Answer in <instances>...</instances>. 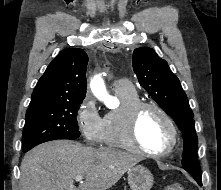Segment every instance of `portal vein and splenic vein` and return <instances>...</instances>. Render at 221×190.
<instances>
[{
    "label": "portal vein and splenic vein",
    "instance_id": "18ae733b",
    "mask_svg": "<svg viewBox=\"0 0 221 190\" xmlns=\"http://www.w3.org/2000/svg\"><path fill=\"white\" fill-rule=\"evenodd\" d=\"M83 180V176H76L75 177V181H79V182H81Z\"/></svg>",
    "mask_w": 221,
    "mask_h": 190
}]
</instances>
